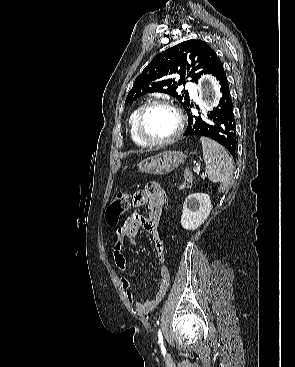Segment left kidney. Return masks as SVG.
<instances>
[{"label":"left kidney","instance_id":"5707ae66","mask_svg":"<svg viewBox=\"0 0 295 367\" xmlns=\"http://www.w3.org/2000/svg\"><path fill=\"white\" fill-rule=\"evenodd\" d=\"M212 204L209 195L204 193H193L186 197L181 225L186 230L197 229L209 216Z\"/></svg>","mask_w":295,"mask_h":367}]
</instances>
